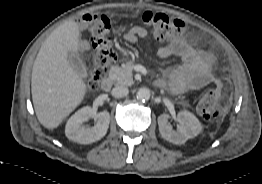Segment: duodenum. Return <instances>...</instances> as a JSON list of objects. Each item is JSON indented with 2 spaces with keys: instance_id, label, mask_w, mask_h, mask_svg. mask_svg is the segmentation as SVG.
<instances>
[{
  "instance_id": "1",
  "label": "duodenum",
  "mask_w": 262,
  "mask_h": 184,
  "mask_svg": "<svg viewBox=\"0 0 262 184\" xmlns=\"http://www.w3.org/2000/svg\"><path fill=\"white\" fill-rule=\"evenodd\" d=\"M112 84H113V79L111 77H106L101 82V88H102V90L108 92V91L111 90Z\"/></svg>"
}]
</instances>
